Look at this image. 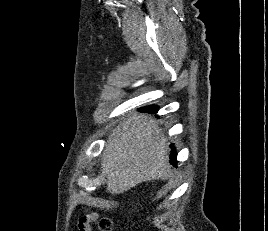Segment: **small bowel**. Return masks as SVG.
<instances>
[{
    "label": "small bowel",
    "mask_w": 268,
    "mask_h": 231,
    "mask_svg": "<svg viewBox=\"0 0 268 231\" xmlns=\"http://www.w3.org/2000/svg\"><path fill=\"white\" fill-rule=\"evenodd\" d=\"M91 218L90 221H87V218ZM98 217V213L93 212L87 215L81 216L78 221L79 231H93L92 222L96 220Z\"/></svg>",
    "instance_id": "obj_1"
}]
</instances>
